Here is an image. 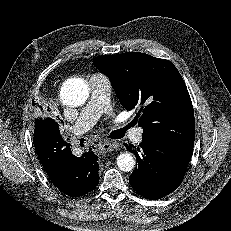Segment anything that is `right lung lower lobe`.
Instances as JSON below:
<instances>
[{
  "label": "right lung lower lobe",
  "mask_w": 231,
  "mask_h": 231,
  "mask_svg": "<svg viewBox=\"0 0 231 231\" xmlns=\"http://www.w3.org/2000/svg\"><path fill=\"white\" fill-rule=\"evenodd\" d=\"M33 143L42 166L52 183L71 197L82 196L96 188L99 181L97 156L89 149L81 157L71 153L58 124L46 119L35 126Z\"/></svg>",
  "instance_id": "98d812e1"
}]
</instances>
